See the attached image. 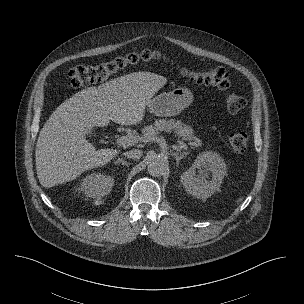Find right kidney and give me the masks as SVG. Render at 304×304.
Wrapping results in <instances>:
<instances>
[{"mask_svg": "<svg viewBox=\"0 0 304 304\" xmlns=\"http://www.w3.org/2000/svg\"><path fill=\"white\" fill-rule=\"evenodd\" d=\"M113 184V177L94 172L81 180L80 190L88 197L101 198L111 191Z\"/></svg>", "mask_w": 304, "mask_h": 304, "instance_id": "obj_1", "label": "right kidney"}]
</instances>
